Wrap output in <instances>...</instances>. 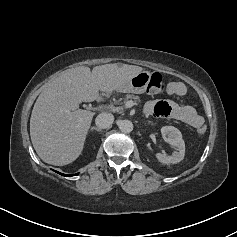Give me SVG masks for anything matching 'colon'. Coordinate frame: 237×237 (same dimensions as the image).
Wrapping results in <instances>:
<instances>
[{"label":"colon","instance_id":"5ec220e1","mask_svg":"<svg viewBox=\"0 0 237 237\" xmlns=\"http://www.w3.org/2000/svg\"><path fill=\"white\" fill-rule=\"evenodd\" d=\"M166 88V82L164 78L161 76L159 73H153L150 77L149 80V85H148V92L149 93H162ZM207 128L205 125H201L198 128V132L200 134H204L206 132Z\"/></svg>","mask_w":237,"mask_h":237}]
</instances>
